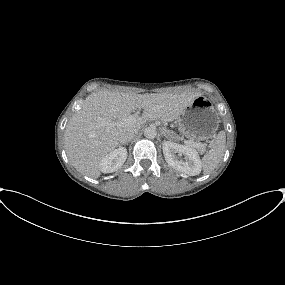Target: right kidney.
Segmentation results:
<instances>
[{"mask_svg":"<svg viewBox=\"0 0 285 285\" xmlns=\"http://www.w3.org/2000/svg\"><path fill=\"white\" fill-rule=\"evenodd\" d=\"M127 158V150L124 147L115 149L100 162V170L103 173L117 171L124 164Z\"/></svg>","mask_w":285,"mask_h":285,"instance_id":"1","label":"right kidney"}]
</instances>
